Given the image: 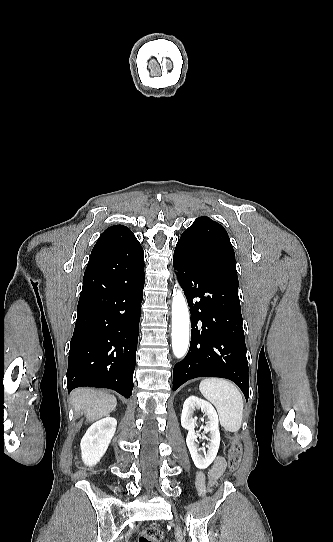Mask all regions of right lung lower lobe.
<instances>
[{
	"label": "right lung lower lobe",
	"instance_id": "right-lung-lower-lobe-1",
	"mask_svg": "<svg viewBox=\"0 0 333 542\" xmlns=\"http://www.w3.org/2000/svg\"><path fill=\"white\" fill-rule=\"evenodd\" d=\"M144 280L137 239L92 251L70 343L69 392L90 386L131 396Z\"/></svg>",
	"mask_w": 333,
	"mask_h": 542
}]
</instances>
